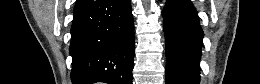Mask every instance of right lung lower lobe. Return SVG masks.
<instances>
[{
  "mask_svg": "<svg viewBox=\"0 0 260 84\" xmlns=\"http://www.w3.org/2000/svg\"><path fill=\"white\" fill-rule=\"evenodd\" d=\"M71 35L74 84H132L134 28L130 0H77Z\"/></svg>",
  "mask_w": 260,
  "mask_h": 84,
  "instance_id": "98d812e1",
  "label": "right lung lower lobe"
}]
</instances>
